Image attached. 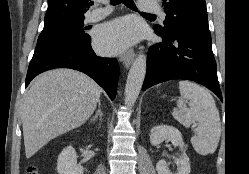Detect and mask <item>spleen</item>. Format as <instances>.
<instances>
[{
	"label": "spleen",
	"mask_w": 249,
	"mask_h": 174,
	"mask_svg": "<svg viewBox=\"0 0 249 174\" xmlns=\"http://www.w3.org/2000/svg\"><path fill=\"white\" fill-rule=\"evenodd\" d=\"M179 90L181 96L172 112L174 119L185 127L197 126L191 144L198 154L214 153L220 140L221 122L213 97L205 88L190 81H180Z\"/></svg>",
	"instance_id": "1"
}]
</instances>
